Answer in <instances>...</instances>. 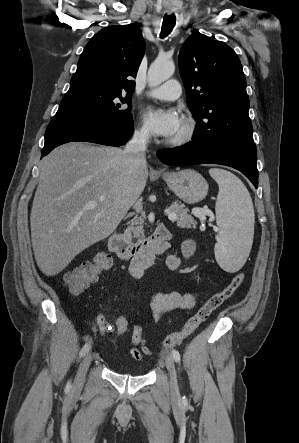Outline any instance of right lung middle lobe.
I'll list each match as a JSON object with an SVG mask.
<instances>
[{
    "mask_svg": "<svg viewBox=\"0 0 299 443\" xmlns=\"http://www.w3.org/2000/svg\"><path fill=\"white\" fill-rule=\"evenodd\" d=\"M130 97H122V92L101 88H70L64 95L59 109L52 120L59 121H102L132 117ZM128 102L129 107H121Z\"/></svg>",
    "mask_w": 299,
    "mask_h": 443,
    "instance_id": "obj_1",
    "label": "right lung middle lobe"
}]
</instances>
